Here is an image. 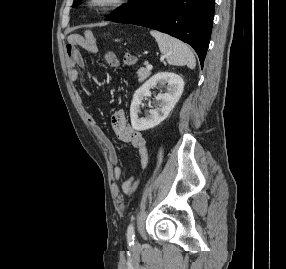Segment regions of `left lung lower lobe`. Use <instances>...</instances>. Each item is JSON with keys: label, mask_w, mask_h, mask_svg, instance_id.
I'll use <instances>...</instances> for the list:
<instances>
[{"label": "left lung lower lobe", "mask_w": 286, "mask_h": 269, "mask_svg": "<svg viewBox=\"0 0 286 269\" xmlns=\"http://www.w3.org/2000/svg\"><path fill=\"white\" fill-rule=\"evenodd\" d=\"M215 0H148L118 23L135 24L174 36L191 45L203 66L210 41Z\"/></svg>", "instance_id": "left-lung-lower-lobe-1"}]
</instances>
